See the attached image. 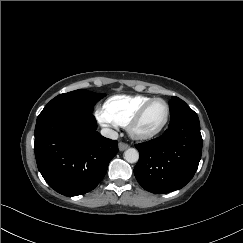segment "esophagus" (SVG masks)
I'll list each match as a JSON object with an SVG mask.
<instances>
[{
    "instance_id": "obj_1",
    "label": "esophagus",
    "mask_w": 243,
    "mask_h": 243,
    "mask_svg": "<svg viewBox=\"0 0 243 243\" xmlns=\"http://www.w3.org/2000/svg\"><path fill=\"white\" fill-rule=\"evenodd\" d=\"M128 147H129V145L126 144V143H123V142H120V143L118 144V148H119L120 151H124V150H126Z\"/></svg>"
}]
</instances>
